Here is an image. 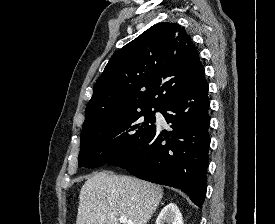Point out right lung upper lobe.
Wrapping results in <instances>:
<instances>
[{"mask_svg": "<svg viewBox=\"0 0 275 224\" xmlns=\"http://www.w3.org/2000/svg\"><path fill=\"white\" fill-rule=\"evenodd\" d=\"M201 73L190 36L178 24L158 23L112 55L86 106L83 129L132 111L161 110Z\"/></svg>", "mask_w": 275, "mask_h": 224, "instance_id": "1", "label": "right lung upper lobe"}]
</instances>
